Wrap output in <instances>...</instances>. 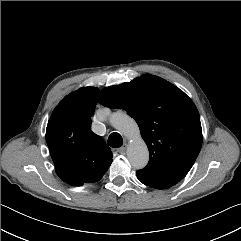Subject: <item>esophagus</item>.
I'll use <instances>...</instances> for the list:
<instances>
[{
  "mask_svg": "<svg viewBox=\"0 0 241 241\" xmlns=\"http://www.w3.org/2000/svg\"><path fill=\"white\" fill-rule=\"evenodd\" d=\"M126 148H127V143H124L122 147H120L119 149H117V152L120 153V154H122V153L125 152Z\"/></svg>",
  "mask_w": 241,
  "mask_h": 241,
  "instance_id": "esophagus-1",
  "label": "esophagus"
}]
</instances>
